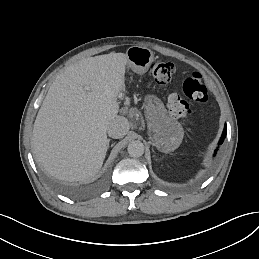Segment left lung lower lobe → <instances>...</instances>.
Masks as SVG:
<instances>
[{
  "mask_svg": "<svg viewBox=\"0 0 259 259\" xmlns=\"http://www.w3.org/2000/svg\"><path fill=\"white\" fill-rule=\"evenodd\" d=\"M226 132H227V126L225 125L222 136H221L220 141H219V145L223 143L224 138L226 137Z\"/></svg>",
  "mask_w": 259,
  "mask_h": 259,
  "instance_id": "left-lung-lower-lobe-1",
  "label": "left lung lower lobe"
}]
</instances>
